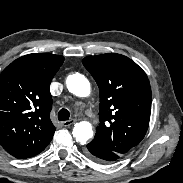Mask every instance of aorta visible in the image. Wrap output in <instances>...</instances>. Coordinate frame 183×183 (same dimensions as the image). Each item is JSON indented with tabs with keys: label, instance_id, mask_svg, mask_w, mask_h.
<instances>
[{
	"label": "aorta",
	"instance_id": "obj_1",
	"mask_svg": "<svg viewBox=\"0 0 183 183\" xmlns=\"http://www.w3.org/2000/svg\"><path fill=\"white\" fill-rule=\"evenodd\" d=\"M66 86L78 97H87L91 91L88 79L79 73L69 75L66 79ZM72 134L78 142L86 143L93 136L92 125L86 121L76 123Z\"/></svg>",
	"mask_w": 183,
	"mask_h": 183
}]
</instances>
